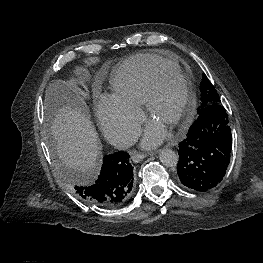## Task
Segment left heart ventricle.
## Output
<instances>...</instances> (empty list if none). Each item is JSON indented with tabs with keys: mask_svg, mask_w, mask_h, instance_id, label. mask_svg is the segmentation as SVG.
<instances>
[{
	"mask_svg": "<svg viewBox=\"0 0 263 263\" xmlns=\"http://www.w3.org/2000/svg\"><path fill=\"white\" fill-rule=\"evenodd\" d=\"M184 102L183 84L176 78H165L158 89L151 119L169 130L180 113Z\"/></svg>",
	"mask_w": 263,
	"mask_h": 263,
	"instance_id": "1",
	"label": "left heart ventricle"
}]
</instances>
